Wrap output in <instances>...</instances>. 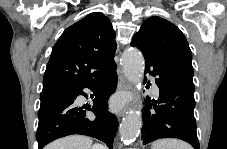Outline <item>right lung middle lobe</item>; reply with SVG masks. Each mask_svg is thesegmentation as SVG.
<instances>
[{"mask_svg": "<svg viewBox=\"0 0 227 149\" xmlns=\"http://www.w3.org/2000/svg\"><path fill=\"white\" fill-rule=\"evenodd\" d=\"M70 88L71 87L58 86V87H50V88L43 89L40 96V99H41L40 108L47 105L54 99H57L63 96H69Z\"/></svg>", "mask_w": 227, "mask_h": 149, "instance_id": "1", "label": "right lung middle lobe"}]
</instances>
